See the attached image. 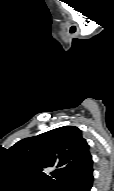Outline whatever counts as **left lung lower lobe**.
Listing matches in <instances>:
<instances>
[{"instance_id":"1","label":"left lung lower lobe","mask_w":114,"mask_h":191,"mask_svg":"<svg viewBox=\"0 0 114 191\" xmlns=\"http://www.w3.org/2000/svg\"><path fill=\"white\" fill-rule=\"evenodd\" d=\"M92 165L90 158L60 191H90L93 184Z\"/></svg>"}]
</instances>
